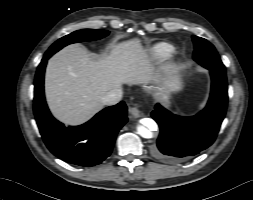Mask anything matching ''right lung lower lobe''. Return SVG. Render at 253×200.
Segmentation results:
<instances>
[{
  "mask_svg": "<svg viewBox=\"0 0 253 200\" xmlns=\"http://www.w3.org/2000/svg\"><path fill=\"white\" fill-rule=\"evenodd\" d=\"M45 53L35 75L34 114L47 148L58 158L79 166H94L107 158L118 131L127 122L124 102L107 107L87 123L65 127L51 115L44 97Z\"/></svg>",
  "mask_w": 253,
  "mask_h": 200,
  "instance_id": "98d812e1",
  "label": "right lung lower lobe"
}]
</instances>
